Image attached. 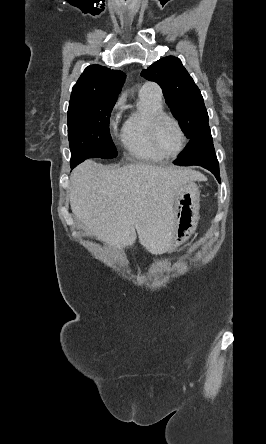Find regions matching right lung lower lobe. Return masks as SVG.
<instances>
[{
	"mask_svg": "<svg viewBox=\"0 0 266 444\" xmlns=\"http://www.w3.org/2000/svg\"><path fill=\"white\" fill-rule=\"evenodd\" d=\"M77 164H71V168L73 169Z\"/></svg>",
	"mask_w": 266,
	"mask_h": 444,
	"instance_id": "right-lung-lower-lobe-1",
	"label": "right lung lower lobe"
}]
</instances>
